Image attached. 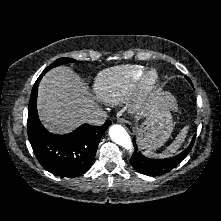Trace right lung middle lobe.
Masks as SVG:
<instances>
[{
	"instance_id": "right-lung-middle-lobe-1",
	"label": "right lung middle lobe",
	"mask_w": 221,
	"mask_h": 221,
	"mask_svg": "<svg viewBox=\"0 0 221 221\" xmlns=\"http://www.w3.org/2000/svg\"><path fill=\"white\" fill-rule=\"evenodd\" d=\"M76 60L74 59H71V58H60V59H57L54 63H52L50 66H48L42 73L41 75L39 76L40 78L43 77V75L49 71L50 69L54 68V67H57L61 64H65V63H72V62H75Z\"/></svg>"
}]
</instances>
